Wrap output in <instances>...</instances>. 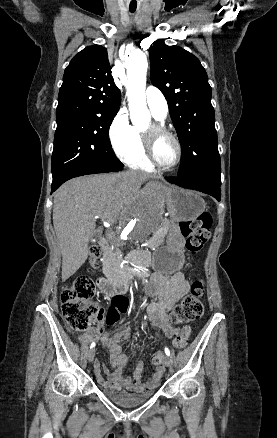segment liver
Listing matches in <instances>:
<instances>
[{
    "label": "liver",
    "instance_id": "1",
    "mask_svg": "<svg viewBox=\"0 0 277 438\" xmlns=\"http://www.w3.org/2000/svg\"><path fill=\"white\" fill-rule=\"evenodd\" d=\"M150 176L147 172L93 174L73 178L54 194L53 226L62 254V282L73 276L89 254L88 244L96 218L111 222L116 210L133 205L135 188H141Z\"/></svg>",
    "mask_w": 277,
    "mask_h": 438
}]
</instances>
